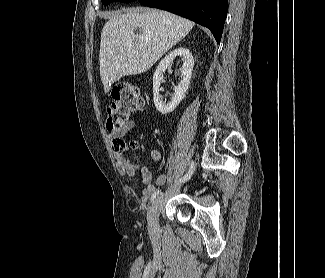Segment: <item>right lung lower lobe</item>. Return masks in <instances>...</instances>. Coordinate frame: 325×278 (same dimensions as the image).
<instances>
[{
	"instance_id": "1",
	"label": "right lung lower lobe",
	"mask_w": 325,
	"mask_h": 278,
	"mask_svg": "<svg viewBox=\"0 0 325 278\" xmlns=\"http://www.w3.org/2000/svg\"><path fill=\"white\" fill-rule=\"evenodd\" d=\"M148 7L167 10L206 26L217 43L223 32L228 0H138Z\"/></svg>"
}]
</instances>
